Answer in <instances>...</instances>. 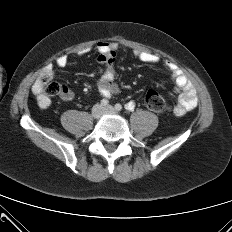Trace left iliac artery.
<instances>
[{
	"mask_svg": "<svg viewBox=\"0 0 232 232\" xmlns=\"http://www.w3.org/2000/svg\"><path fill=\"white\" fill-rule=\"evenodd\" d=\"M134 107H135V105L132 104V103H129V104L126 105V109L129 110V111H133V110H134ZM115 109H116L117 111H121V110H122V105L119 104V103H117V104L115 105Z\"/></svg>",
	"mask_w": 232,
	"mask_h": 232,
	"instance_id": "1",
	"label": "left iliac artery"
}]
</instances>
